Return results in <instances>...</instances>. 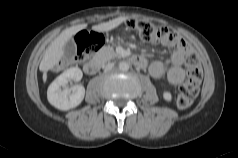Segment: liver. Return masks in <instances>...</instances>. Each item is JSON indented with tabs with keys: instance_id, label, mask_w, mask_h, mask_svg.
Listing matches in <instances>:
<instances>
[{
	"instance_id": "liver-1",
	"label": "liver",
	"mask_w": 238,
	"mask_h": 158,
	"mask_svg": "<svg viewBox=\"0 0 238 158\" xmlns=\"http://www.w3.org/2000/svg\"><path fill=\"white\" fill-rule=\"evenodd\" d=\"M123 21H125V18L119 17L109 22L94 26L93 29L99 32L110 31L119 26ZM86 27L87 24H81L67 28L48 46L39 66L40 70L43 72L42 78L44 83L47 81L48 70L53 68L63 57V47L66 42L71 39L73 35Z\"/></svg>"
}]
</instances>
